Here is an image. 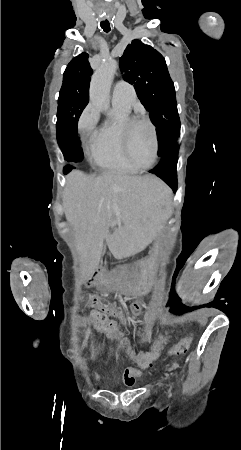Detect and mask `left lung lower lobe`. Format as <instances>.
<instances>
[{
  "mask_svg": "<svg viewBox=\"0 0 241 450\" xmlns=\"http://www.w3.org/2000/svg\"><path fill=\"white\" fill-rule=\"evenodd\" d=\"M177 161L178 147L171 150L166 156L161 157L159 164L154 169L150 170L151 173L156 174L165 181L173 191H176L177 189Z\"/></svg>",
  "mask_w": 241,
  "mask_h": 450,
  "instance_id": "0a47b994",
  "label": "left lung lower lobe"
}]
</instances>
